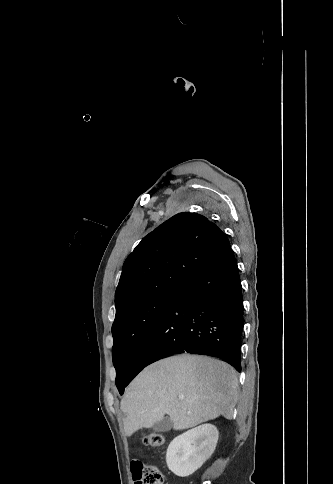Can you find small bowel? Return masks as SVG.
I'll return each mask as SVG.
<instances>
[{
    "mask_svg": "<svg viewBox=\"0 0 333 484\" xmlns=\"http://www.w3.org/2000/svg\"><path fill=\"white\" fill-rule=\"evenodd\" d=\"M142 464L143 463L140 459H133L132 462H131V470H132L133 479L135 481V484L137 483V475H138L139 469H140Z\"/></svg>",
    "mask_w": 333,
    "mask_h": 484,
    "instance_id": "1",
    "label": "small bowel"
}]
</instances>
